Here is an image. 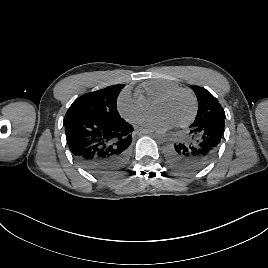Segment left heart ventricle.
<instances>
[{"instance_id":"left-heart-ventricle-1","label":"left heart ventricle","mask_w":268,"mask_h":268,"mask_svg":"<svg viewBox=\"0 0 268 268\" xmlns=\"http://www.w3.org/2000/svg\"><path fill=\"white\" fill-rule=\"evenodd\" d=\"M192 103L185 93H179L156 107V114L165 116L174 124L185 120L191 113Z\"/></svg>"}]
</instances>
